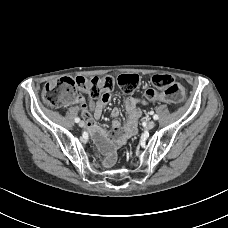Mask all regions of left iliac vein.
I'll use <instances>...</instances> for the list:
<instances>
[{"instance_id":"obj_1","label":"left iliac vein","mask_w":228,"mask_h":228,"mask_svg":"<svg viewBox=\"0 0 228 228\" xmlns=\"http://www.w3.org/2000/svg\"><path fill=\"white\" fill-rule=\"evenodd\" d=\"M155 127V122L154 121H148L147 122V128L148 129H152V128H154Z\"/></svg>"}]
</instances>
